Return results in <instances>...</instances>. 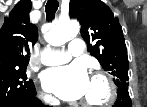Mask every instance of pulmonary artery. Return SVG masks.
Masks as SVG:
<instances>
[{
	"mask_svg": "<svg viewBox=\"0 0 147 107\" xmlns=\"http://www.w3.org/2000/svg\"><path fill=\"white\" fill-rule=\"evenodd\" d=\"M83 52V42L81 38L73 39L67 50H48L42 55V63L45 65H58L68 62L73 56H78Z\"/></svg>",
	"mask_w": 147,
	"mask_h": 107,
	"instance_id": "e3ab8cb5",
	"label": "pulmonary artery"
}]
</instances>
